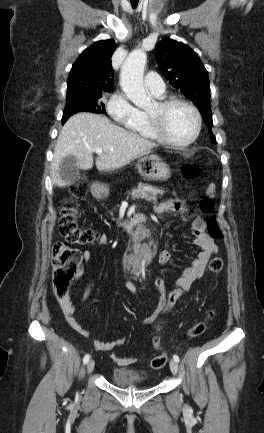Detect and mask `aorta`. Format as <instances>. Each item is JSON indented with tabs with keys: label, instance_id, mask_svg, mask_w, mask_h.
I'll return each instance as SVG.
<instances>
[{
	"label": "aorta",
	"instance_id": "aorta-1",
	"mask_svg": "<svg viewBox=\"0 0 264 433\" xmlns=\"http://www.w3.org/2000/svg\"><path fill=\"white\" fill-rule=\"evenodd\" d=\"M146 61L147 55L144 51L134 50L126 58L121 70V87L128 99L139 108L150 104L143 84Z\"/></svg>",
	"mask_w": 264,
	"mask_h": 433
}]
</instances>
